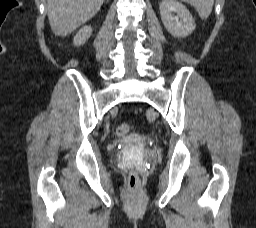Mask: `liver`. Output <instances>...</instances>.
<instances>
[{
  "label": "liver",
  "mask_w": 256,
  "mask_h": 228,
  "mask_svg": "<svg viewBox=\"0 0 256 228\" xmlns=\"http://www.w3.org/2000/svg\"><path fill=\"white\" fill-rule=\"evenodd\" d=\"M105 0H47L52 31L65 37L86 23L100 10Z\"/></svg>",
  "instance_id": "obj_1"
}]
</instances>
